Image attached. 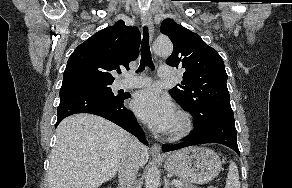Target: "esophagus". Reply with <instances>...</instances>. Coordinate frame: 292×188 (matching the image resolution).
<instances>
[{"instance_id":"34e87169","label":"esophagus","mask_w":292,"mask_h":188,"mask_svg":"<svg viewBox=\"0 0 292 188\" xmlns=\"http://www.w3.org/2000/svg\"><path fill=\"white\" fill-rule=\"evenodd\" d=\"M142 21L146 26H148L149 32H150V38L152 39L153 32H154V24H153V19H152L151 14L149 12L144 13L142 16ZM150 152L154 157H158V158L162 157L161 147L159 144H153L151 146Z\"/></svg>"}]
</instances>
